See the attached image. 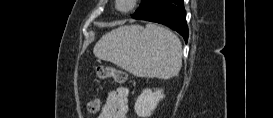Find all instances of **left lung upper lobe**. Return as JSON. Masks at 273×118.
Returning a JSON list of instances; mask_svg holds the SVG:
<instances>
[{
	"label": "left lung upper lobe",
	"instance_id": "obj_1",
	"mask_svg": "<svg viewBox=\"0 0 273 118\" xmlns=\"http://www.w3.org/2000/svg\"><path fill=\"white\" fill-rule=\"evenodd\" d=\"M165 0H141L140 7L132 15L134 19H142L158 9Z\"/></svg>",
	"mask_w": 273,
	"mask_h": 118
}]
</instances>
